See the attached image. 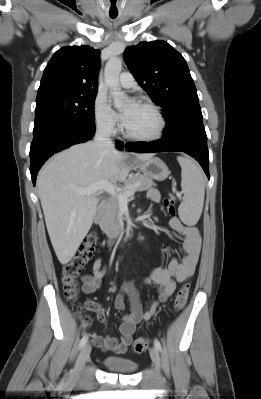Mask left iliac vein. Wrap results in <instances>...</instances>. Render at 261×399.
Masks as SVG:
<instances>
[{
  "mask_svg": "<svg viewBox=\"0 0 261 399\" xmlns=\"http://www.w3.org/2000/svg\"><path fill=\"white\" fill-rule=\"evenodd\" d=\"M150 356H151V359L154 364L156 372L159 373V371H160V355H159L158 350L155 347H152L150 349Z\"/></svg>",
  "mask_w": 261,
  "mask_h": 399,
  "instance_id": "1",
  "label": "left iliac vein"
}]
</instances>
